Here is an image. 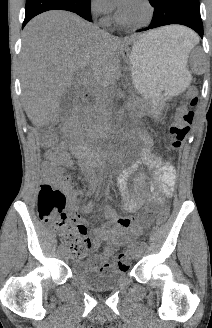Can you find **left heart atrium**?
I'll return each instance as SVG.
<instances>
[{"mask_svg": "<svg viewBox=\"0 0 212 328\" xmlns=\"http://www.w3.org/2000/svg\"><path fill=\"white\" fill-rule=\"evenodd\" d=\"M116 6L121 10H126L133 2V0H113Z\"/></svg>", "mask_w": 212, "mask_h": 328, "instance_id": "left-heart-atrium-1", "label": "left heart atrium"}]
</instances>
